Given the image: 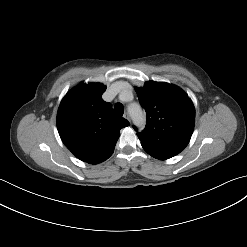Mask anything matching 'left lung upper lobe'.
<instances>
[{"mask_svg": "<svg viewBox=\"0 0 247 247\" xmlns=\"http://www.w3.org/2000/svg\"><path fill=\"white\" fill-rule=\"evenodd\" d=\"M135 90L147 118L145 129L137 132L141 145L162 153L179 154L189 143L194 129L195 108L188 95L177 86L153 81Z\"/></svg>", "mask_w": 247, "mask_h": 247, "instance_id": "5c2ea615", "label": "left lung upper lobe"}]
</instances>
